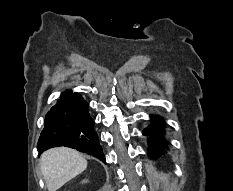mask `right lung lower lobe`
I'll list each match as a JSON object with an SVG mask.
<instances>
[{
	"label": "right lung lower lobe",
	"mask_w": 233,
	"mask_h": 191,
	"mask_svg": "<svg viewBox=\"0 0 233 191\" xmlns=\"http://www.w3.org/2000/svg\"><path fill=\"white\" fill-rule=\"evenodd\" d=\"M93 126L88 103L77 93L66 91L46 114L44 129L38 140V151L66 146L94 155L106 163Z\"/></svg>",
	"instance_id": "1"
}]
</instances>
